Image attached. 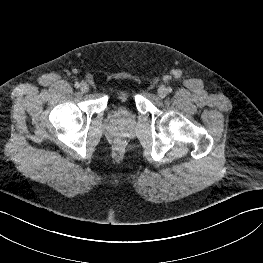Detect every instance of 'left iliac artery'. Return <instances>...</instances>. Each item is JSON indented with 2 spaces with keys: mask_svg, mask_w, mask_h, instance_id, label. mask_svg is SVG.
I'll return each instance as SVG.
<instances>
[{
  "mask_svg": "<svg viewBox=\"0 0 263 263\" xmlns=\"http://www.w3.org/2000/svg\"><path fill=\"white\" fill-rule=\"evenodd\" d=\"M167 92H169V93L172 92V88H171V87H168V88H167Z\"/></svg>",
  "mask_w": 263,
  "mask_h": 263,
  "instance_id": "1",
  "label": "left iliac artery"
}]
</instances>
